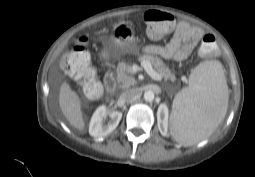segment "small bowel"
I'll use <instances>...</instances> for the list:
<instances>
[{"label": "small bowel", "instance_id": "small-bowel-1", "mask_svg": "<svg viewBox=\"0 0 255 177\" xmlns=\"http://www.w3.org/2000/svg\"><path fill=\"white\" fill-rule=\"evenodd\" d=\"M203 35L202 29L181 22L177 25L172 38L167 44L148 45L145 47L144 52L164 59H172L177 62L183 61L202 42Z\"/></svg>", "mask_w": 255, "mask_h": 177}]
</instances>
